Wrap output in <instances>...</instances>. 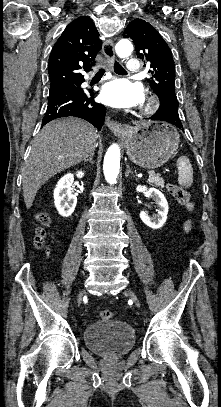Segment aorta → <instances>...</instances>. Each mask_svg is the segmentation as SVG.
Returning <instances> with one entry per match:
<instances>
[{"mask_svg":"<svg viewBox=\"0 0 221 407\" xmlns=\"http://www.w3.org/2000/svg\"><path fill=\"white\" fill-rule=\"evenodd\" d=\"M115 50L120 58L128 57L132 51V43L127 39L120 40ZM120 168V148L117 144L111 145L104 157L103 171L106 181L109 184H115L119 174Z\"/></svg>","mask_w":221,"mask_h":407,"instance_id":"1","label":"aorta"}]
</instances>
